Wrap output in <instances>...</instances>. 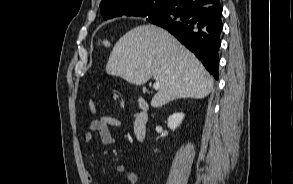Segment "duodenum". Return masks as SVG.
<instances>
[{
  "instance_id": "410a0bca",
  "label": "duodenum",
  "mask_w": 293,
  "mask_h": 184,
  "mask_svg": "<svg viewBox=\"0 0 293 184\" xmlns=\"http://www.w3.org/2000/svg\"><path fill=\"white\" fill-rule=\"evenodd\" d=\"M140 110L136 113L133 120V133L138 141H143L147 134L149 121L148 105L144 100H139Z\"/></svg>"
}]
</instances>
